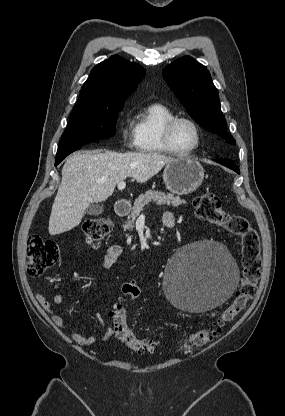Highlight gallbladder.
I'll use <instances>...</instances> for the list:
<instances>
[{
  "label": "gallbladder",
  "instance_id": "gallbladder-1",
  "mask_svg": "<svg viewBox=\"0 0 285 416\" xmlns=\"http://www.w3.org/2000/svg\"><path fill=\"white\" fill-rule=\"evenodd\" d=\"M86 212L87 214H90V216H99V214H102L103 212V206H100V204H91Z\"/></svg>",
  "mask_w": 285,
  "mask_h": 416
}]
</instances>
